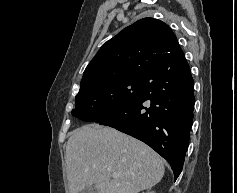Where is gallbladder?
I'll return each instance as SVG.
<instances>
[{
	"label": "gallbladder",
	"mask_w": 237,
	"mask_h": 193,
	"mask_svg": "<svg viewBox=\"0 0 237 193\" xmlns=\"http://www.w3.org/2000/svg\"><path fill=\"white\" fill-rule=\"evenodd\" d=\"M79 193H99L98 189L96 188L95 185L88 186L84 188L82 191Z\"/></svg>",
	"instance_id": "1"
}]
</instances>
